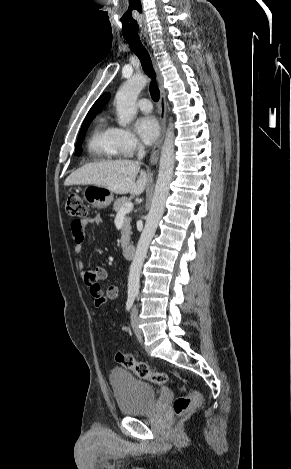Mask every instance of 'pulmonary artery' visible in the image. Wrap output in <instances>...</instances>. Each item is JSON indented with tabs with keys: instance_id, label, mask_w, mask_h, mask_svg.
<instances>
[{
	"instance_id": "e3ab8cb5",
	"label": "pulmonary artery",
	"mask_w": 291,
	"mask_h": 469,
	"mask_svg": "<svg viewBox=\"0 0 291 469\" xmlns=\"http://www.w3.org/2000/svg\"><path fill=\"white\" fill-rule=\"evenodd\" d=\"M137 106L142 112H145V113H149L152 110V104L150 100L147 98H141L137 102Z\"/></svg>"
}]
</instances>
